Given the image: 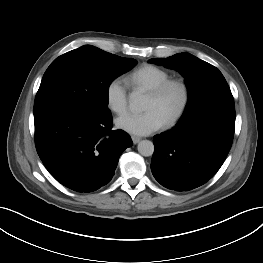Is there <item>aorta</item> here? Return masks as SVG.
Listing matches in <instances>:
<instances>
[{"label": "aorta", "mask_w": 263, "mask_h": 263, "mask_svg": "<svg viewBox=\"0 0 263 263\" xmlns=\"http://www.w3.org/2000/svg\"><path fill=\"white\" fill-rule=\"evenodd\" d=\"M144 96L139 92H132L129 96V106L132 111H141L144 108ZM138 152L145 157L152 156L154 144L149 140H142L137 146Z\"/></svg>", "instance_id": "1"}]
</instances>
